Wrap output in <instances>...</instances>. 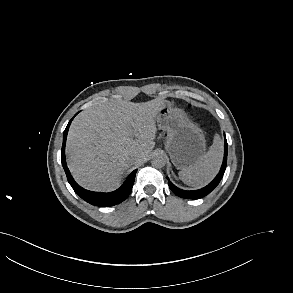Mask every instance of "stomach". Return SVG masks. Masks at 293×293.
<instances>
[{
  "label": "stomach",
  "mask_w": 293,
  "mask_h": 293,
  "mask_svg": "<svg viewBox=\"0 0 293 293\" xmlns=\"http://www.w3.org/2000/svg\"><path fill=\"white\" fill-rule=\"evenodd\" d=\"M156 120L159 128L167 132L165 146L177 169L185 170L204 156V133L188 119L185 111L165 102Z\"/></svg>",
  "instance_id": "stomach-1"
}]
</instances>
